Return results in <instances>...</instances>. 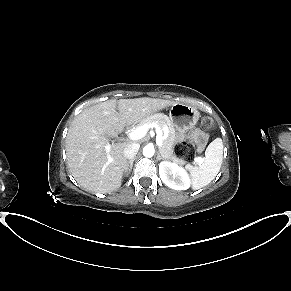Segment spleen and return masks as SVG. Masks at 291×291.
Returning a JSON list of instances; mask_svg holds the SVG:
<instances>
[{
	"label": "spleen",
	"mask_w": 291,
	"mask_h": 291,
	"mask_svg": "<svg viewBox=\"0 0 291 291\" xmlns=\"http://www.w3.org/2000/svg\"><path fill=\"white\" fill-rule=\"evenodd\" d=\"M222 159V139L216 138L206 148L202 163L190 170L193 189H200L214 180L221 168Z\"/></svg>",
	"instance_id": "3e777b00"
}]
</instances>
